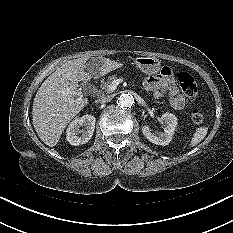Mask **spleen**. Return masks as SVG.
Returning a JSON list of instances; mask_svg holds the SVG:
<instances>
[{"mask_svg": "<svg viewBox=\"0 0 233 233\" xmlns=\"http://www.w3.org/2000/svg\"><path fill=\"white\" fill-rule=\"evenodd\" d=\"M208 133V127H198L195 130V133L193 134L192 140L190 142V147L196 146L198 143H200L207 135Z\"/></svg>", "mask_w": 233, "mask_h": 233, "instance_id": "1", "label": "spleen"}]
</instances>
